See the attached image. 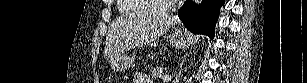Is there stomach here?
<instances>
[{
  "mask_svg": "<svg viewBox=\"0 0 307 83\" xmlns=\"http://www.w3.org/2000/svg\"><path fill=\"white\" fill-rule=\"evenodd\" d=\"M172 46L178 49H184L187 46L188 38L186 32L182 30H175L169 36ZM133 63V59L125 55H118L110 59V66L114 71L123 72L127 70Z\"/></svg>",
  "mask_w": 307,
  "mask_h": 83,
  "instance_id": "obj_1",
  "label": "stomach"
}]
</instances>
